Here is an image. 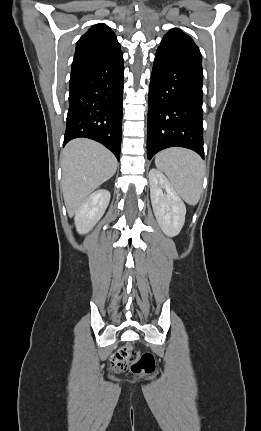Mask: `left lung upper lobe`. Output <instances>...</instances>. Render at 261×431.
Here are the masks:
<instances>
[{"mask_svg": "<svg viewBox=\"0 0 261 431\" xmlns=\"http://www.w3.org/2000/svg\"><path fill=\"white\" fill-rule=\"evenodd\" d=\"M160 47L202 61L201 53L190 36L179 29H171L162 39Z\"/></svg>", "mask_w": 261, "mask_h": 431, "instance_id": "1", "label": "left lung upper lobe"}]
</instances>
